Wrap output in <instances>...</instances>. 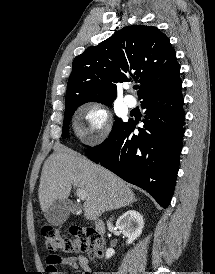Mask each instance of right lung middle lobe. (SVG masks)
<instances>
[{"mask_svg":"<svg viewBox=\"0 0 215 274\" xmlns=\"http://www.w3.org/2000/svg\"><path fill=\"white\" fill-rule=\"evenodd\" d=\"M86 102H81V103H77V104H72V105H68L65 106V116H64V122H63V131H62V137H67L69 135L68 132V122L70 117L73 115V113L75 112V110L78 108V106L84 104ZM106 105H111L112 102H103ZM124 122H122V120L120 119H116L113 129L111 131V134L116 131L118 128H120V126L123 124Z\"/></svg>","mask_w":215,"mask_h":274,"instance_id":"dd1d6c3e","label":"right lung middle lobe"}]
</instances>
